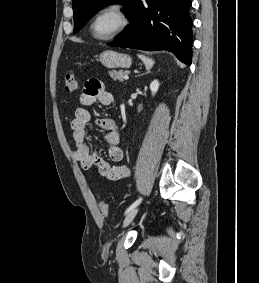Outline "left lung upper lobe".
<instances>
[{"label": "left lung upper lobe", "instance_id": "1", "mask_svg": "<svg viewBox=\"0 0 259 283\" xmlns=\"http://www.w3.org/2000/svg\"><path fill=\"white\" fill-rule=\"evenodd\" d=\"M136 0H73L74 33L78 32L97 10L105 5L122 3L128 8L124 13L129 16Z\"/></svg>", "mask_w": 259, "mask_h": 283}]
</instances>
